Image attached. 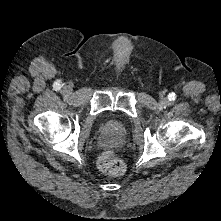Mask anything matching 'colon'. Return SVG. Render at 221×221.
<instances>
[{"label":"colon","instance_id":"1","mask_svg":"<svg viewBox=\"0 0 221 221\" xmlns=\"http://www.w3.org/2000/svg\"><path fill=\"white\" fill-rule=\"evenodd\" d=\"M100 171L110 175H121L125 170V165L113 151L103 152L97 161Z\"/></svg>","mask_w":221,"mask_h":221}]
</instances>
